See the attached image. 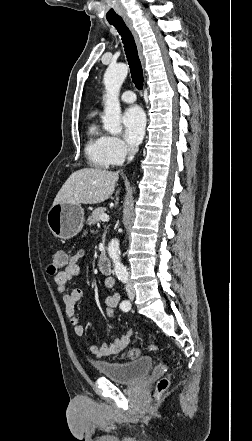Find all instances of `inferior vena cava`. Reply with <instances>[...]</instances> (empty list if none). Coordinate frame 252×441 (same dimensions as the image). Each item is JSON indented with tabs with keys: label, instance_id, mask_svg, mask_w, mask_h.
Here are the masks:
<instances>
[{
	"label": "inferior vena cava",
	"instance_id": "obj_1",
	"mask_svg": "<svg viewBox=\"0 0 252 441\" xmlns=\"http://www.w3.org/2000/svg\"><path fill=\"white\" fill-rule=\"evenodd\" d=\"M133 157H134V151H132V153L129 155L128 160L131 161L133 159ZM126 290L128 292H132L133 291L132 285L131 284H127L126 285Z\"/></svg>",
	"mask_w": 252,
	"mask_h": 441
}]
</instances>
